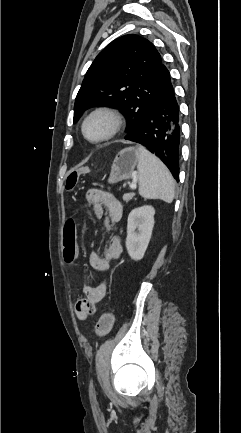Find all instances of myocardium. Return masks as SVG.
Masks as SVG:
<instances>
[{
	"mask_svg": "<svg viewBox=\"0 0 241 433\" xmlns=\"http://www.w3.org/2000/svg\"><path fill=\"white\" fill-rule=\"evenodd\" d=\"M99 116H103L108 119L109 129L104 135L99 138H89L86 134V125L89 123V121ZM124 123V117L117 109L108 106H100L90 111L84 117L81 124V133L84 139L87 140L89 143L98 145L115 138L121 132L122 128L124 127Z\"/></svg>",
	"mask_w": 241,
	"mask_h": 433,
	"instance_id": "1",
	"label": "myocardium"
}]
</instances>
